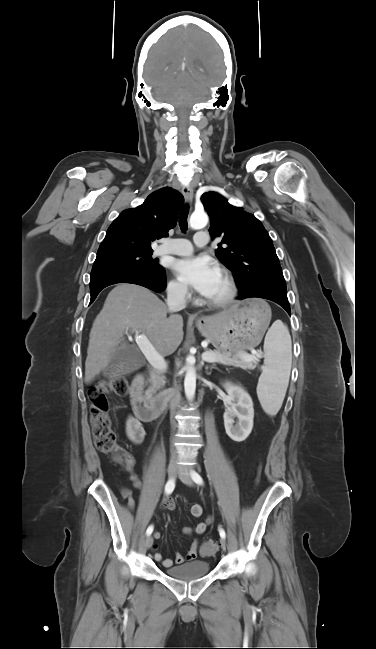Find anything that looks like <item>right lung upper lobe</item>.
I'll return each instance as SVG.
<instances>
[{
	"label": "right lung upper lobe",
	"instance_id": "obj_1",
	"mask_svg": "<svg viewBox=\"0 0 376 649\" xmlns=\"http://www.w3.org/2000/svg\"><path fill=\"white\" fill-rule=\"evenodd\" d=\"M184 197L165 187L150 194L144 203L123 211L109 226L97 254L118 251H152L151 241L168 236L175 227Z\"/></svg>",
	"mask_w": 376,
	"mask_h": 649
}]
</instances>
